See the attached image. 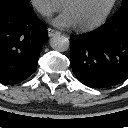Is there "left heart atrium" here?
Listing matches in <instances>:
<instances>
[{
  "label": "left heart atrium",
  "instance_id": "39dd6f15",
  "mask_svg": "<svg viewBox=\"0 0 128 128\" xmlns=\"http://www.w3.org/2000/svg\"><path fill=\"white\" fill-rule=\"evenodd\" d=\"M52 23L60 28H69L76 25L73 17L66 10L52 20Z\"/></svg>",
  "mask_w": 128,
  "mask_h": 128
}]
</instances>
